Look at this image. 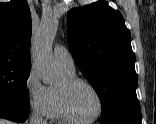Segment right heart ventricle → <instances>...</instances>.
I'll list each match as a JSON object with an SVG mask.
<instances>
[{
    "instance_id": "e07e8e85",
    "label": "right heart ventricle",
    "mask_w": 156,
    "mask_h": 124,
    "mask_svg": "<svg viewBox=\"0 0 156 124\" xmlns=\"http://www.w3.org/2000/svg\"><path fill=\"white\" fill-rule=\"evenodd\" d=\"M64 71L65 76H75V71H68L64 68H62ZM50 95H51V114L50 117L62 122L68 121L64 115L62 114L59 103H58V98H57V92H56V87H50Z\"/></svg>"
}]
</instances>
